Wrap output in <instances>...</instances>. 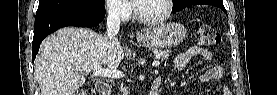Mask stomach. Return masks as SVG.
Here are the masks:
<instances>
[{
	"label": "stomach",
	"instance_id": "stomach-1",
	"mask_svg": "<svg viewBox=\"0 0 277 95\" xmlns=\"http://www.w3.org/2000/svg\"><path fill=\"white\" fill-rule=\"evenodd\" d=\"M186 34L183 25L172 22L144 30L137 40L144 47L172 48L183 42Z\"/></svg>",
	"mask_w": 277,
	"mask_h": 95
}]
</instances>
